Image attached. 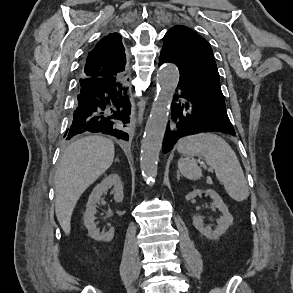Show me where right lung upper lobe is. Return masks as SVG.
Returning a JSON list of instances; mask_svg holds the SVG:
<instances>
[{
	"mask_svg": "<svg viewBox=\"0 0 293 293\" xmlns=\"http://www.w3.org/2000/svg\"><path fill=\"white\" fill-rule=\"evenodd\" d=\"M126 55L118 33H110L103 37L88 53L82 69L84 78L125 77Z\"/></svg>",
	"mask_w": 293,
	"mask_h": 293,
	"instance_id": "right-lung-upper-lobe-1",
	"label": "right lung upper lobe"
}]
</instances>
